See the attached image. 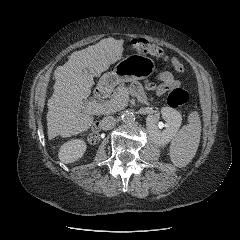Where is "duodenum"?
Wrapping results in <instances>:
<instances>
[{"label": "duodenum", "instance_id": "410a0bca", "mask_svg": "<svg viewBox=\"0 0 240 240\" xmlns=\"http://www.w3.org/2000/svg\"><path fill=\"white\" fill-rule=\"evenodd\" d=\"M109 94V87L106 85H100L95 89V96L99 99H105ZM97 129V125L94 126Z\"/></svg>", "mask_w": 240, "mask_h": 240}]
</instances>
